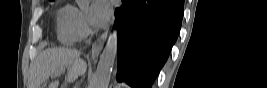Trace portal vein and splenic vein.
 <instances>
[{
    "instance_id": "18ae733b",
    "label": "portal vein and splenic vein",
    "mask_w": 267,
    "mask_h": 88,
    "mask_svg": "<svg viewBox=\"0 0 267 88\" xmlns=\"http://www.w3.org/2000/svg\"><path fill=\"white\" fill-rule=\"evenodd\" d=\"M60 75V72H57V73H55V75L54 76H59Z\"/></svg>"
}]
</instances>
